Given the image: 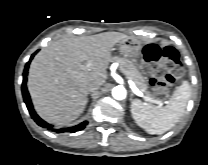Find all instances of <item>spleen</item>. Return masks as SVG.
I'll list each match as a JSON object with an SVG mask.
<instances>
[{"instance_id":"obj_1","label":"spleen","mask_w":208,"mask_h":165,"mask_svg":"<svg viewBox=\"0 0 208 165\" xmlns=\"http://www.w3.org/2000/svg\"><path fill=\"white\" fill-rule=\"evenodd\" d=\"M191 96L188 81L175 90L169 103L162 106H151L141 100L131 102V114L138 126L149 134H163L173 128L183 116Z\"/></svg>"}]
</instances>
